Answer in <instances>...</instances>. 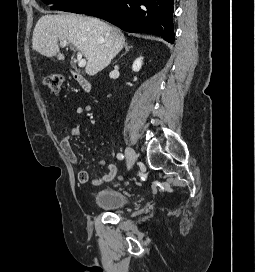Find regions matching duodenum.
<instances>
[{
  "instance_id": "obj_1",
  "label": "duodenum",
  "mask_w": 255,
  "mask_h": 272,
  "mask_svg": "<svg viewBox=\"0 0 255 272\" xmlns=\"http://www.w3.org/2000/svg\"><path fill=\"white\" fill-rule=\"evenodd\" d=\"M73 77L78 81L80 86L85 90L89 91L92 89V84L85 80L79 73L73 72Z\"/></svg>"
}]
</instances>
